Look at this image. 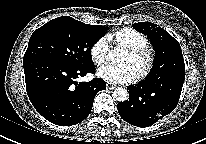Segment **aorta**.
Segmentation results:
<instances>
[{
	"label": "aorta",
	"instance_id": "obj_1",
	"mask_svg": "<svg viewBox=\"0 0 206 144\" xmlns=\"http://www.w3.org/2000/svg\"><path fill=\"white\" fill-rule=\"evenodd\" d=\"M120 52L121 50L118 48L112 50L111 57L114 59H118V57L120 56ZM113 96L119 102H124L129 98L128 91L122 87L116 88L113 92Z\"/></svg>",
	"mask_w": 206,
	"mask_h": 144
}]
</instances>
